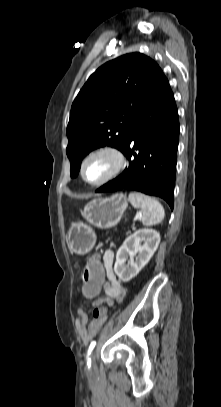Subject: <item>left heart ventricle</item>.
Wrapping results in <instances>:
<instances>
[{
    "label": "left heart ventricle",
    "mask_w": 221,
    "mask_h": 407,
    "mask_svg": "<svg viewBox=\"0 0 221 407\" xmlns=\"http://www.w3.org/2000/svg\"><path fill=\"white\" fill-rule=\"evenodd\" d=\"M115 166L114 158L109 154L92 157L85 165L84 175L90 182H97L105 178Z\"/></svg>",
    "instance_id": "b2bd125f"
}]
</instances>
